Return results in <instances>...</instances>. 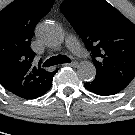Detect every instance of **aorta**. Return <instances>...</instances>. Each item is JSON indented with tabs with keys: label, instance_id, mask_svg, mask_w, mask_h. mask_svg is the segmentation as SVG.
<instances>
[{
	"label": "aorta",
	"instance_id": "1",
	"mask_svg": "<svg viewBox=\"0 0 135 135\" xmlns=\"http://www.w3.org/2000/svg\"><path fill=\"white\" fill-rule=\"evenodd\" d=\"M39 39L51 47L60 46L65 38L64 30L57 23L45 22L37 29ZM77 74L80 79L90 81L94 79L96 69L90 62H82L77 68Z\"/></svg>",
	"mask_w": 135,
	"mask_h": 135
}]
</instances>
